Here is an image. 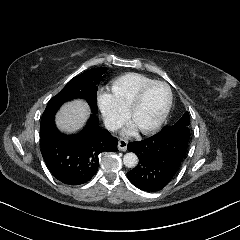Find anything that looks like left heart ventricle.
<instances>
[{
    "label": "left heart ventricle",
    "mask_w": 240,
    "mask_h": 240,
    "mask_svg": "<svg viewBox=\"0 0 240 240\" xmlns=\"http://www.w3.org/2000/svg\"><path fill=\"white\" fill-rule=\"evenodd\" d=\"M167 98V90L161 85H155L146 93L142 105L136 111L132 124L142 129L152 125L160 116Z\"/></svg>",
    "instance_id": "left-heart-ventricle-1"
}]
</instances>
